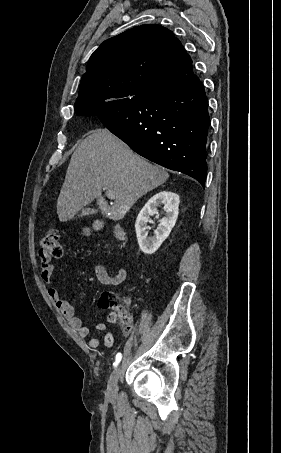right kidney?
Listing matches in <instances>:
<instances>
[{
    "label": "right kidney",
    "mask_w": 281,
    "mask_h": 453,
    "mask_svg": "<svg viewBox=\"0 0 281 453\" xmlns=\"http://www.w3.org/2000/svg\"><path fill=\"white\" fill-rule=\"evenodd\" d=\"M164 204L163 210H165V216L160 218L157 229L154 231L153 237H148L147 222H150L151 214H157L158 210L156 206ZM179 206V194L176 192H170V190H161L154 196L149 198L145 206L141 208L135 222L136 235L139 243V247L145 255H153L163 241L169 237L171 229L178 216Z\"/></svg>",
    "instance_id": "ca27d5eb"
}]
</instances>
